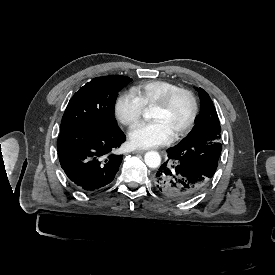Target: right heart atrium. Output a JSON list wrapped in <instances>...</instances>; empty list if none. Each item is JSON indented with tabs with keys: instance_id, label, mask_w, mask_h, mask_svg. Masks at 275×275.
Listing matches in <instances>:
<instances>
[{
	"instance_id": "right-heart-atrium-1",
	"label": "right heart atrium",
	"mask_w": 275,
	"mask_h": 275,
	"mask_svg": "<svg viewBox=\"0 0 275 275\" xmlns=\"http://www.w3.org/2000/svg\"><path fill=\"white\" fill-rule=\"evenodd\" d=\"M145 106L134 92L121 94L115 103L118 119L127 127L134 126L141 118Z\"/></svg>"
}]
</instances>
